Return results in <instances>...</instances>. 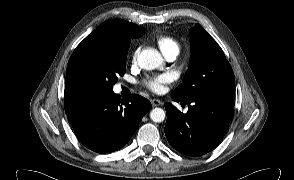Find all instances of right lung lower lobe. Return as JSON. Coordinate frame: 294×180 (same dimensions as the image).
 <instances>
[{
	"label": "right lung lower lobe",
	"mask_w": 294,
	"mask_h": 180,
	"mask_svg": "<svg viewBox=\"0 0 294 180\" xmlns=\"http://www.w3.org/2000/svg\"><path fill=\"white\" fill-rule=\"evenodd\" d=\"M150 108V101L137 94L125 100L113 91L65 97V112L77 138L98 153L123 147Z\"/></svg>",
	"instance_id": "obj_1"
}]
</instances>
